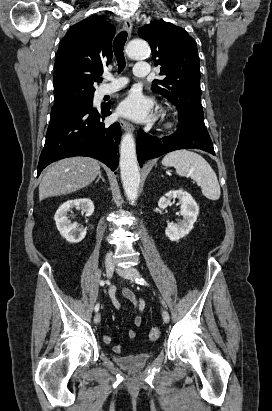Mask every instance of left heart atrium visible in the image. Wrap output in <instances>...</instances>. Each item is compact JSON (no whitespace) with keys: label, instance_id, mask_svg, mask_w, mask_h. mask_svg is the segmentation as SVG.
<instances>
[{"label":"left heart atrium","instance_id":"1","mask_svg":"<svg viewBox=\"0 0 272 411\" xmlns=\"http://www.w3.org/2000/svg\"><path fill=\"white\" fill-rule=\"evenodd\" d=\"M152 108V103L149 99L137 92H132L119 105V113L136 120H146Z\"/></svg>","mask_w":272,"mask_h":411}]
</instances>
